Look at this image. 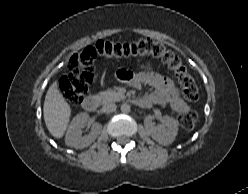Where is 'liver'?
I'll return each instance as SVG.
<instances>
[{
    "label": "liver",
    "instance_id": "obj_1",
    "mask_svg": "<svg viewBox=\"0 0 248 194\" xmlns=\"http://www.w3.org/2000/svg\"><path fill=\"white\" fill-rule=\"evenodd\" d=\"M44 120L48 131L55 138L63 137L71 116V107L58 89L55 81L45 96Z\"/></svg>",
    "mask_w": 248,
    "mask_h": 194
}]
</instances>
